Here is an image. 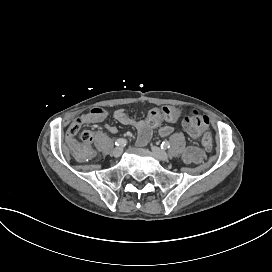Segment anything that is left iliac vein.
<instances>
[{
    "mask_svg": "<svg viewBox=\"0 0 272 272\" xmlns=\"http://www.w3.org/2000/svg\"><path fill=\"white\" fill-rule=\"evenodd\" d=\"M152 152L161 161H168L169 155L159 147L153 146Z\"/></svg>",
    "mask_w": 272,
    "mask_h": 272,
    "instance_id": "obj_1",
    "label": "left iliac vein"
}]
</instances>
